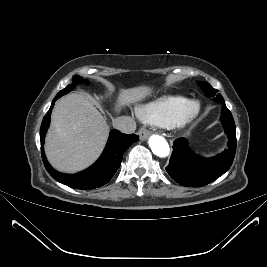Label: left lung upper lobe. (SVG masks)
Masks as SVG:
<instances>
[{
	"label": "left lung upper lobe",
	"instance_id": "left-lung-upper-lobe-1",
	"mask_svg": "<svg viewBox=\"0 0 267 267\" xmlns=\"http://www.w3.org/2000/svg\"><path fill=\"white\" fill-rule=\"evenodd\" d=\"M198 84L201 87V89L204 91V93L206 89L209 90V95L205 93L206 96L214 97L215 101L225 104L224 99L221 96V94L218 93V90L214 89L211 85L205 82H198Z\"/></svg>",
	"mask_w": 267,
	"mask_h": 267
}]
</instances>
